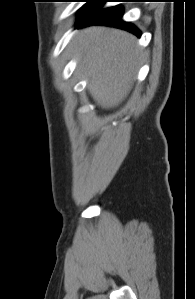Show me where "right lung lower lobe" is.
<instances>
[{"label":"right lung lower lobe","mask_w":195,"mask_h":299,"mask_svg":"<svg viewBox=\"0 0 195 299\" xmlns=\"http://www.w3.org/2000/svg\"><path fill=\"white\" fill-rule=\"evenodd\" d=\"M105 3L104 0H97L88 9L84 16L78 20V27H85L89 25H106L113 26L127 30L140 36V31L131 23H126L121 20L123 14L122 6H114L111 8L100 10L101 6Z\"/></svg>","instance_id":"obj_1"}]
</instances>
